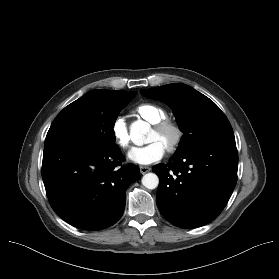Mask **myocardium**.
Here are the masks:
<instances>
[{"mask_svg": "<svg viewBox=\"0 0 279 279\" xmlns=\"http://www.w3.org/2000/svg\"><path fill=\"white\" fill-rule=\"evenodd\" d=\"M153 130L159 134L165 132H170L172 134L171 140L165 146V149L169 153H173L179 148L183 140V130L178 123L165 118L161 121L154 123Z\"/></svg>", "mask_w": 279, "mask_h": 279, "instance_id": "obj_1", "label": "myocardium"}]
</instances>
